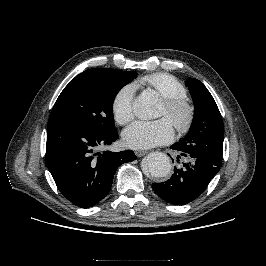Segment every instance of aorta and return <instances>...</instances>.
I'll return each instance as SVG.
<instances>
[{"label":"aorta","instance_id":"1","mask_svg":"<svg viewBox=\"0 0 266 266\" xmlns=\"http://www.w3.org/2000/svg\"><path fill=\"white\" fill-rule=\"evenodd\" d=\"M158 97L152 92H143L133 103V113L139 119L157 116ZM145 167L153 177H166L171 171L169 157L162 152H152L145 158Z\"/></svg>","mask_w":266,"mask_h":266}]
</instances>
